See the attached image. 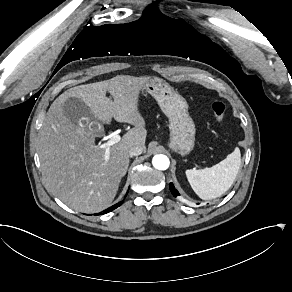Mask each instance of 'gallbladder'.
<instances>
[{
  "instance_id": "obj_1",
  "label": "gallbladder",
  "mask_w": 292,
  "mask_h": 292,
  "mask_svg": "<svg viewBox=\"0 0 292 292\" xmlns=\"http://www.w3.org/2000/svg\"><path fill=\"white\" fill-rule=\"evenodd\" d=\"M63 111L72 124L84 129L97 121L93 112L80 98L69 97L64 102Z\"/></svg>"
}]
</instances>
